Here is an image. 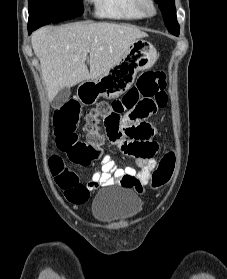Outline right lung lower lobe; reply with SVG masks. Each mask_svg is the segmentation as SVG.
<instances>
[{
	"instance_id": "1",
	"label": "right lung lower lobe",
	"mask_w": 227,
	"mask_h": 279,
	"mask_svg": "<svg viewBox=\"0 0 227 279\" xmlns=\"http://www.w3.org/2000/svg\"><path fill=\"white\" fill-rule=\"evenodd\" d=\"M39 27H41V24H37V25H34V26L28 25V33L31 34L34 30H36Z\"/></svg>"
}]
</instances>
